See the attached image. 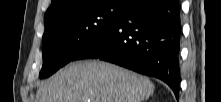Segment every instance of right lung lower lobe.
Returning <instances> with one entry per match:
<instances>
[{"instance_id":"right-lung-lower-lobe-1","label":"right lung lower lobe","mask_w":221,"mask_h":102,"mask_svg":"<svg viewBox=\"0 0 221 102\" xmlns=\"http://www.w3.org/2000/svg\"><path fill=\"white\" fill-rule=\"evenodd\" d=\"M180 6L135 0L125 14L74 60L95 58L164 81L179 97Z\"/></svg>"}]
</instances>
